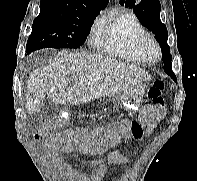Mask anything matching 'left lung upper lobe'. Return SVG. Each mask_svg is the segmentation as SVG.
I'll list each match as a JSON object with an SVG mask.
<instances>
[{
	"label": "left lung upper lobe",
	"instance_id": "left-lung-upper-lobe-1",
	"mask_svg": "<svg viewBox=\"0 0 197 181\" xmlns=\"http://www.w3.org/2000/svg\"><path fill=\"white\" fill-rule=\"evenodd\" d=\"M120 4L133 8V11L139 21L152 33L155 34L162 50L164 62V71L176 81L171 68L170 48L167 44L168 32L165 24L160 20V2L158 0H120Z\"/></svg>",
	"mask_w": 197,
	"mask_h": 181
}]
</instances>
